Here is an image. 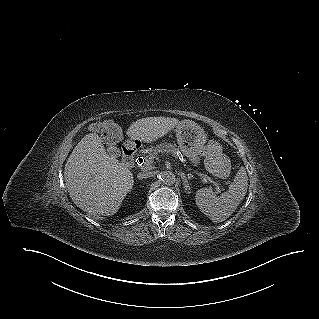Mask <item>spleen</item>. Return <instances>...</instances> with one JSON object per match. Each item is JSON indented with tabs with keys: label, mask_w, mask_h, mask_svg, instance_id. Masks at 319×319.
<instances>
[{
	"label": "spleen",
	"mask_w": 319,
	"mask_h": 319,
	"mask_svg": "<svg viewBox=\"0 0 319 319\" xmlns=\"http://www.w3.org/2000/svg\"><path fill=\"white\" fill-rule=\"evenodd\" d=\"M248 186V177L244 167L237 172L229 190L219 197L211 188H201L196 192L195 201L198 208L213 222L225 221L244 199Z\"/></svg>",
	"instance_id": "1"
}]
</instances>
